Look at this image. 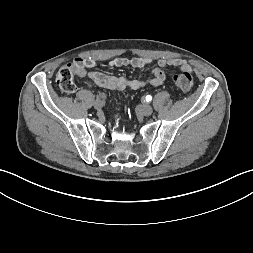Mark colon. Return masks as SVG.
<instances>
[{
    "label": "colon",
    "instance_id": "1",
    "mask_svg": "<svg viewBox=\"0 0 253 253\" xmlns=\"http://www.w3.org/2000/svg\"><path fill=\"white\" fill-rule=\"evenodd\" d=\"M75 73L76 68L72 64H66L58 70L56 82L64 92L72 93L76 90ZM173 82L179 89L189 90L194 85V77L188 71H183L173 76Z\"/></svg>",
    "mask_w": 253,
    "mask_h": 253
}]
</instances>
